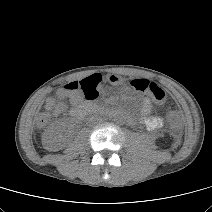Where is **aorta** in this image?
Here are the masks:
<instances>
[{
    "label": "aorta",
    "instance_id": "obj_1",
    "mask_svg": "<svg viewBox=\"0 0 212 212\" xmlns=\"http://www.w3.org/2000/svg\"><path fill=\"white\" fill-rule=\"evenodd\" d=\"M115 120L119 122V121H121V117H120L119 115H117V116L115 117Z\"/></svg>",
    "mask_w": 212,
    "mask_h": 212
}]
</instances>
